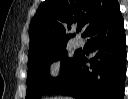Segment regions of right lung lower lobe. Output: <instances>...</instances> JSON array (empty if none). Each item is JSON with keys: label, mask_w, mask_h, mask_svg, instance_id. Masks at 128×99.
Segmentation results:
<instances>
[{"label": "right lung lower lobe", "mask_w": 128, "mask_h": 99, "mask_svg": "<svg viewBox=\"0 0 128 99\" xmlns=\"http://www.w3.org/2000/svg\"><path fill=\"white\" fill-rule=\"evenodd\" d=\"M84 37H90L88 46L95 57L88 60L83 52L79 53L69 77L55 93L78 99H123L126 38L119 4Z\"/></svg>", "instance_id": "right-lung-lower-lobe-1"}]
</instances>
